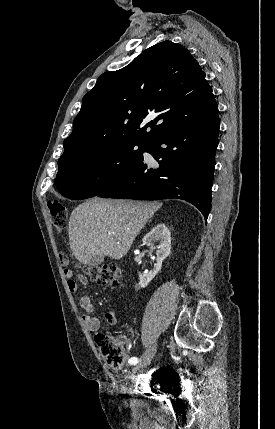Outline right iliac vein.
<instances>
[{"mask_svg": "<svg viewBox=\"0 0 275 429\" xmlns=\"http://www.w3.org/2000/svg\"><path fill=\"white\" fill-rule=\"evenodd\" d=\"M157 350V343H152L150 347L145 351V353L141 357V361L134 367L133 371L136 372L137 370L144 368L148 366L155 356Z\"/></svg>", "mask_w": 275, "mask_h": 429, "instance_id": "right-iliac-vein-1", "label": "right iliac vein"}]
</instances>
